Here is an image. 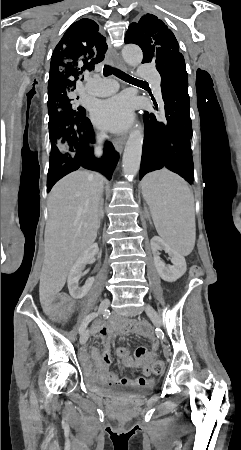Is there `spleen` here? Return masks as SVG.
Here are the masks:
<instances>
[{
	"mask_svg": "<svg viewBox=\"0 0 241 450\" xmlns=\"http://www.w3.org/2000/svg\"><path fill=\"white\" fill-rule=\"evenodd\" d=\"M141 188L159 236L177 254L189 256L195 246V216L187 182L169 170H157L143 178Z\"/></svg>",
	"mask_w": 241,
	"mask_h": 450,
	"instance_id": "obj_1",
	"label": "spleen"
}]
</instances>
